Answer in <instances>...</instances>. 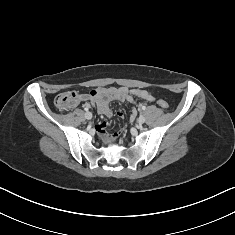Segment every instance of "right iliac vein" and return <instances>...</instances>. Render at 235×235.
<instances>
[{
  "mask_svg": "<svg viewBox=\"0 0 235 235\" xmlns=\"http://www.w3.org/2000/svg\"><path fill=\"white\" fill-rule=\"evenodd\" d=\"M85 118L88 119V120L92 119V114L90 112H87L85 114Z\"/></svg>",
  "mask_w": 235,
  "mask_h": 235,
  "instance_id": "1",
  "label": "right iliac vein"
}]
</instances>
